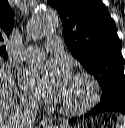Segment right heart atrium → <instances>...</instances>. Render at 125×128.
Wrapping results in <instances>:
<instances>
[{
    "label": "right heart atrium",
    "instance_id": "obj_1",
    "mask_svg": "<svg viewBox=\"0 0 125 128\" xmlns=\"http://www.w3.org/2000/svg\"><path fill=\"white\" fill-rule=\"evenodd\" d=\"M22 101L26 106H33V102L27 98H23Z\"/></svg>",
    "mask_w": 125,
    "mask_h": 128
}]
</instances>
